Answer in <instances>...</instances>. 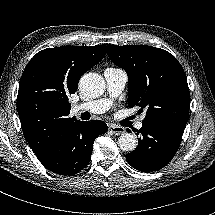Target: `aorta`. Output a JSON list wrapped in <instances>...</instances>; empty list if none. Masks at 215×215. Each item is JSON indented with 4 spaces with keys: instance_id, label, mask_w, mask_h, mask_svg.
Listing matches in <instances>:
<instances>
[{
    "instance_id": "obj_1",
    "label": "aorta",
    "mask_w": 215,
    "mask_h": 215,
    "mask_svg": "<svg viewBox=\"0 0 215 215\" xmlns=\"http://www.w3.org/2000/svg\"><path fill=\"white\" fill-rule=\"evenodd\" d=\"M104 79L102 76L94 73H88L81 77L79 88L81 92L90 98L99 97L104 90ZM119 148L124 152H132L137 147L136 138L131 133H123L117 140Z\"/></svg>"
}]
</instances>
